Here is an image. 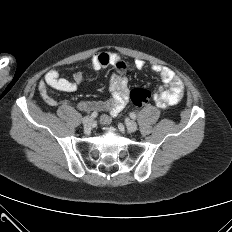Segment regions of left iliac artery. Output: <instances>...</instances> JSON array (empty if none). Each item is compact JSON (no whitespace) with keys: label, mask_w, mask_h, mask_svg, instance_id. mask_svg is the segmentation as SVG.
<instances>
[{"label":"left iliac artery","mask_w":232,"mask_h":232,"mask_svg":"<svg viewBox=\"0 0 232 232\" xmlns=\"http://www.w3.org/2000/svg\"><path fill=\"white\" fill-rule=\"evenodd\" d=\"M130 117H131L132 119H136V114H135V113H130Z\"/></svg>","instance_id":"obj_1"}]
</instances>
